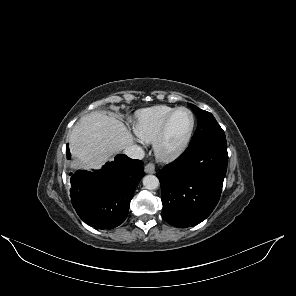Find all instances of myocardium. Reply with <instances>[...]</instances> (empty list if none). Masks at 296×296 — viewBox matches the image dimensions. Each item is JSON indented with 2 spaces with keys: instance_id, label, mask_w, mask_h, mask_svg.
Returning <instances> with one entry per match:
<instances>
[{
  "instance_id": "myocardium-1",
  "label": "myocardium",
  "mask_w": 296,
  "mask_h": 296,
  "mask_svg": "<svg viewBox=\"0 0 296 296\" xmlns=\"http://www.w3.org/2000/svg\"><path fill=\"white\" fill-rule=\"evenodd\" d=\"M179 111L189 112V114L191 115V118H192L191 127H190L187 135L185 136V138L182 140V142L178 146H176L175 148H172V149H167V148H165L164 144H165L168 128H169L173 118L175 117V115ZM195 126H196V117H195L194 113L189 108L178 107L173 112H171V114L167 117V119L163 123V125H162V127H161L155 141H154V151H155L157 158L160 159L161 161H172V160L178 158L187 149V147L191 141V138L193 136Z\"/></svg>"
}]
</instances>
